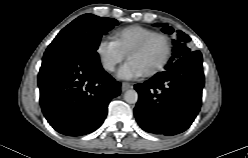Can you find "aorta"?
I'll return each instance as SVG.
<instances>
[{
  "label": "aorta",
  "instance_id": "762f6f07",
  "mask_svg": "<svg viewBox=\"0 0 248 158\" xmlns=\"http://www.w3.org/2000/svg\"><path fill=\"white\" fill-rule=\"evenodd\" d=\"M124 100L129 104H135L138 101V93L134 89H129L124 93Z\"/></svg>",
  "mask_w": 248,
  "mask_h": 158
}]
</instances>
